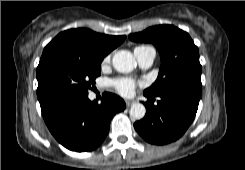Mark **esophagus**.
<instances>
[{
	"label": "esophagus",
	"instance_id": "obj_1",
	"mask_svg": "<svg viewBox=\"0 0 245 170\" xmlns=\"http://www.w3.org/2000/svg\"><path fill=\"white\" fill-rule=\"evenodd\" d=\"M126 106L129 107L133 101L132 100H125Z\"/></svg>",
	"mask_w": 245,
	"mask_h": 170
}]
</instances>
